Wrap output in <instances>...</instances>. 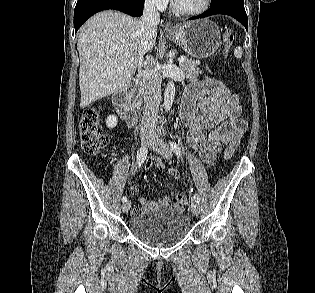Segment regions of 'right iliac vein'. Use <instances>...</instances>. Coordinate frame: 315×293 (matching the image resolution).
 I'll use <instances>...</instances> for the list:
<instances>
[{
  "mask_svg": "<svg viewBox=\"0 0 315 293\" xmlns=\"http://www.w3.org/2000/svg\"><path fill=\"white\" fill-rule=\"evenodd\" d=\"M151 141H152V139H151L150 136H143L141 138V145L142 146H148V145H150ZM130 207H131V202L130 201L124 202L123 205H122L123 213L127 214L129 212V210H130Z\"/></svg>",
  "mask_w": 315,
  "mask_h": 293,
  "instance_id": "63e3f726",
  "label": "right iliac vein"
}]
</instances>
